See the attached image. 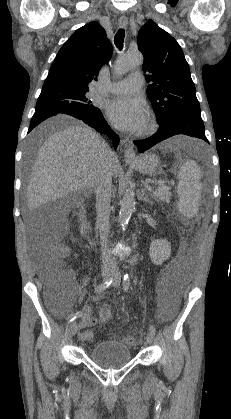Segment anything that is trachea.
I'll list each match as a JSON object with an SVG mask.
<instances>
[{
	"label": "trachea",
	"mask_w": 231,
	"mask_h": 419,
	"mask_svg": "<svg viewBox=\"0 0 231 419\" xmlns=\"http://www.w3.org/2000/svg\"><path fill=\"white\" fill-rule=\"evenodd\" d=\"M124 37H125L124 29H119L114 37V43L119 50L123 48Z\"/></svg>",
	"instance_id": "3493384b"
}]
</instances>
